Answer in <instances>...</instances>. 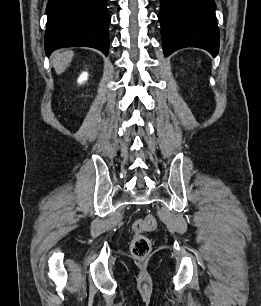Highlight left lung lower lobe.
Masks as SVG:
<instances>
[{"mask_svg":"<svg viewBox=\"0 0 261 306\" xmlns=\"http://www.w3.org/2000/svg\"><path fill=\"white\" fill-rule=\"evenodd\" d=\"M158 15L165 56L183 47L203 48L216 56L220 34L214 0H160Z\"/></svg>","mask_w":261,"mask_h":306,"instance_id":"obj_1","label":"left lung lower lobe"}]
</instances>
